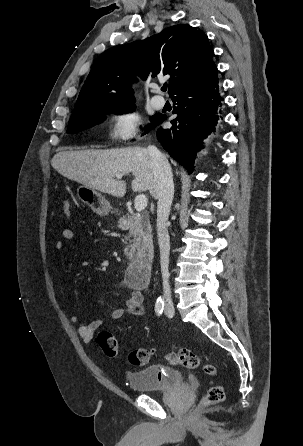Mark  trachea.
Segmentation results:
<instances>
[{"mask_svg": "<svg viewBox=\"0 0 303 446\" xmlns=\"http://www.w3.org/2000/svg\"><path fill=\"white\" fill-rule=\"evenodd\" d=\"M161 90H162V91H166V90H167V85H164V86L161 88Z\"/></svg>", "mask_w": 303, "mask_h": 446, "instance_id": "trachea-1", "label": "trachea"}]
</instances>
